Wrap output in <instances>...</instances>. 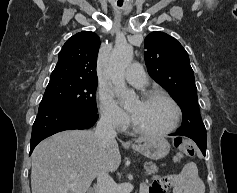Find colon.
Masks as SVG:
<instances>
[{
    "label": "colon",
    "mask_w": 237,
    "mask_h": 193,
    "mask_svg": "<svg viewBox=\"0 0 237 193\" xmlns=\"http://www.w3.org/2000/svg\"><path fill=\"white\" fill-rule=\"evenodd\" d=\"M175 148L178 151L177 157H193L195 155L194 144L186 139L178 137L174 141Z\"/></svg>",
    "instance_id": "1"
}]
</instances>
